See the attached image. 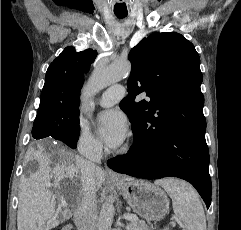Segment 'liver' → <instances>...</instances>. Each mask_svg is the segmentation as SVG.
<instances>
[{"instance_id":"6515ba94","label":"liver","mask_w":241,"mask_h":230,"mask_svg":"<svg viewBox=\"0 0 241 230\" xmlns=\"http://www.w3.org/2000/svg\"><path fill=\"white\" fill-rule=\"evenodd\" d=\"M83 160L59 145L48 151L43 145H40L38 150L31 149L26 155L25 163L35 161L37 169L28 177H21L17 210L18 230H44L47 228L46 223H57L55 195L50 189L52 179L56 189H60V181L69 179L74 185L75 195L66 193L64 199L73 205H79L82 200L80 167ZM95 179L98 189L105 182V174L99 167L95 169ZM125 180L132 179L126 177Z\"/></svg>"}]
</instances>
